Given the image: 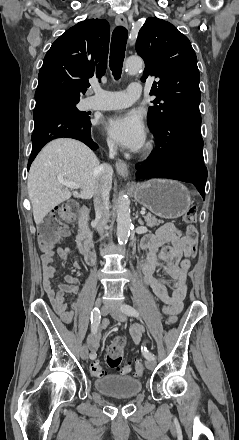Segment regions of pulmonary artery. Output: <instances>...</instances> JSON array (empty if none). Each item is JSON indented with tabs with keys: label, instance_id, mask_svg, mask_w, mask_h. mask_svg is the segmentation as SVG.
Returning a JSON list of instances; mask_svg holds the SVG:
<instances>
[{
	"label": "pulmonary artery",
	"instance_id": "1",
	"mask_svg": "<svg viewBox=\"0 0 239 440\" xmlns=\"http://www.w3.org/2000/svg\"><path fill=\"white\" fill-rule=\"evenodd\" d=\"M142 87L139 83H132L125 91L110 92L102 90L98 85L91 87L94 95L85 100L86 110H113L128 107L140 96ZM96 97H108L110 100L105 102L96 101Z\"/></svg>",
	"mask_w": 239,
	"mask_h": 440
}]
</instances>
